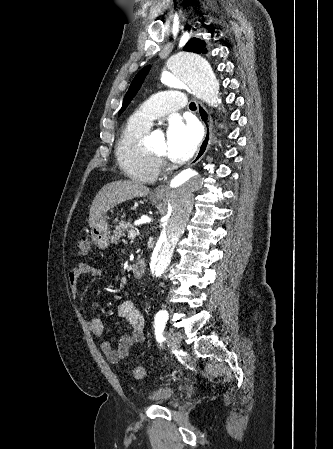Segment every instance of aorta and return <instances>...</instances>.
<instances>
[{
  "mask_svg": "<svg viewBox=\"0 0 333 449\" xmlns=\"http://www.w3.org/2000/svg\"><path fill=\"white\" fill-rule=\"evenodd\" d=\"M165 85L186 88L209 105L219 103V83L209 62L192 52H178L168 57L161 70ZM207 178V171L185 170L176 175L167 189L168 220L163 225L150 260L151 272L161 276L168 268L174 248L185 231L193 210L195 194Z\"/></svg>",
  "mask_w": 333,
  "mask_h": 449,
  "instance_id": "762f6f07",
  "label": "aorta"
}]
</instances>
